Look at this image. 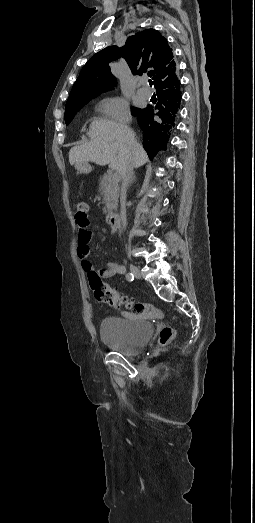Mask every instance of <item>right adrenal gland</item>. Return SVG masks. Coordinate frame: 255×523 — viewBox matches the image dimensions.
I'll return each instance as SVG.
<instances>
[{
  "instance_id": "1",
  "label": "right adrenal gland",
  "mask_w": 255,
  "mask_h": 523,
  "mask_svg": "<svg viewBox=\"0 0 255 523\" xmlns=\"http://www.w3.org/2000/svg\"><path fill=\"white\" fill-rule=\"evenodd\" d=\"M134 182H135V174H133V176H132V180H130V184H129V186H131V184H134Z\"/></svg>"
}]
</instances>
